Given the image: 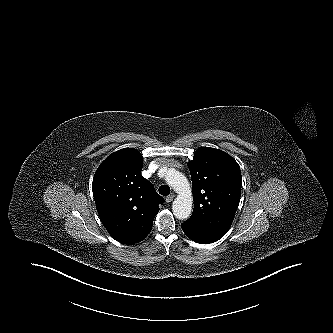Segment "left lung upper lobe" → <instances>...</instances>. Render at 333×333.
Wrapping results in <instances>:
<instances>
[{"instance_id":"5c2ea615","label":"left lung upper lobe","mask_w":333,"mask_h":333,"mask_svg":"<svg viewBox=\"0 0 333 333\" xmlns=\"http://www.w3.org/2000/svg\"><path fill=\"white\" fill-rule=\"evenodd\" d=\"M194 209L186 224L222 238L237 211L242 187L238 163L229 154L209 147L197 149L188 163Z\"/></svg>"}]
</instances>
